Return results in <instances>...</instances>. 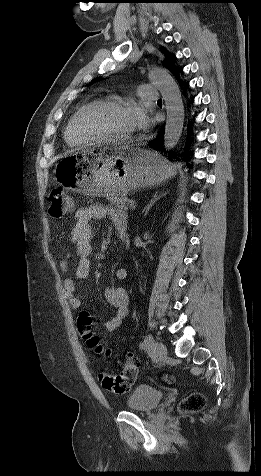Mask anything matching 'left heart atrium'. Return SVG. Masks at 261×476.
<instances>
[{"label": "left heart atrium", "instance_id": "left-heart-atrium-1", "mask_svg": "<svg viewBox=\"0 0 261 476\" xmlns=\"http://www.w3.org/2000/svg\"><path fill=\"white\" fill-rule=\"evenodd\" d=\"M134 129L145 130L150 124V119L141 107H133Z\"/></svg>", "mask_w": 261, "mask_h": 476}]
</instances>
